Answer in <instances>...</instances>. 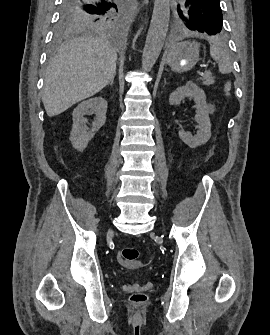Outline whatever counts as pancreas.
<instances>
[{
	"label": "pancreas",
	"mask_w": 270,
	"mask_h": 335,
	"mask_svg": "<svg viewBox=\"0 0 270 335\" xmlns=\"http://www.w3.org/2000/svg\"><path fill=\"white\" fill-rule=\"evenodd\" d=\"M202 80H204L203 84H205V86H210V84H214L215 82L211 72H205L204 76H202Z\"/></svg>",
	"instance_id": "cf45deb5"
}]
</instances>
